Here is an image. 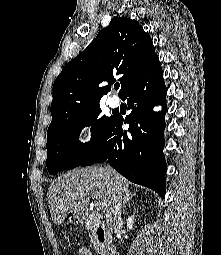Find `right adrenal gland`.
Returning <instances> with one entry per match:
<instances>
[{
  "mask_svg": "<svg viewBox=\"0 0 221 255\" xmlns=\"http://www.w3.org/2000/svg\"><path fill=\"white\" fill-rule=\"evenodd\" d=\"M136 195H137V193H131L130 190L125 192L124 198H123L122 214H125L127 203L130 202V200H132V198Z\"/></svg>",
  "mask_w": 221,
  "mask_h": 255,
  "instance_id": "right-adrenal-gland-1",
  "label": "right adrenal gland"
}]
</instances>
